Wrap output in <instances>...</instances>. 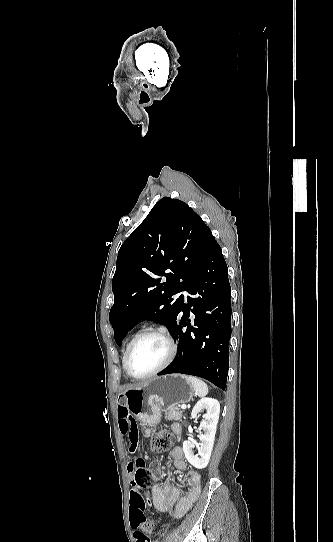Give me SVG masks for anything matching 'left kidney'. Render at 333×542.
Instances as JSON below:
<instances>
[{"mask_svg": "<svg viewBox=\"0 0 333 542\" xmlns=\"http://www.w3.org/2000/svg\"><path fill=\"white\" fill-rule=\"evenodd\" d=\"M200 412H206V414L205 420L201 422L199 428V430H203V434L199 436L202 442L199 456H194L192 452V448H194L193 442H183V452L186 460H188L191 466L198 468V470H203V468L208 466V462L213 450L214 438L220 414V404L218 400H213V398H202V400H199V402L195 404L191 412V418H197ZM188 432L193 434V428H191V426H188Z\"/></svg>", "mask_w": 333, "mask_h": 542, "instance_id": "left-kidney-1", "label": "left kidney"}]
</instances>
